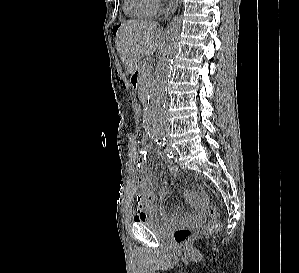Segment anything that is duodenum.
<instances>
[{
  "label": "duodenum",
  "mask_w": 299,
  "mask_h": 273,
  "mask_svg": "<svg viewBox=\"0 0 299 273\" xmlns=\"http://www.w3.org/2000/svg\"><path fill=\"white\" fill-rule=\"evenodd\" d=\"M132 82H136L137 81V72H134L131 76Z\"/></svg>",
  "instance_id": "duodenum-1"
}]
</instances>
